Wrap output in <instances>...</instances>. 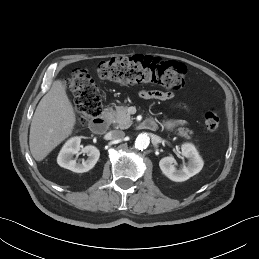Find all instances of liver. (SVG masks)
<instances>
[{"label":"liver","mask_w":259,"mask_h":259,"mask_svg":"<svg viewBox=\"0 0 259 259\" xmlns=\"http://www.w3.org/2000/svg\"><path fill=\"white\" fill-rule=\"evenodd\" d=\"M76 115L64 83L53 82L39 102L32 118L29 146L36 161H42L55 147L72 134Z\"/></svg>","instance_id":"obj_1"}]
</instances>
